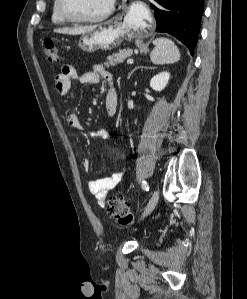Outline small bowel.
<instances>
[{"label": "small bowel", "mask_w": 247, "mask_h": 299, "mask_svg": "<svg viewBox=\"0 0 247 299\" xmlns=\"http://www.w3.org/2000/svg\"><path fill=\"white\" fill-rule=\"evenodd\" d=\"M101 78L111 80L110 74L100 65H95L92 69L85 71L82 74H78L77 71L71 66H63L61 72L55 76V87L62 97H66L70 92L73 82L80 84H97ZM111 104L117 107V94L113 88L108 91L105 101L106 107ZM66 120L67 124L72 129L83 128L81 120L71 108L67 111ZM90 134L93 137H110L106 129H97L91 131ZM81 166L83 170L88 173L91 168L90 160L86 157L83 158L81 160ZM123 176L124 171L122 170L112 174L109 177L98 178L91 180L88 183L89 191L93 194L99 206L105 205V201L110 191L121 182Z\"/></svg>", "instance_id": "c3829d8e"}]
</instances>
